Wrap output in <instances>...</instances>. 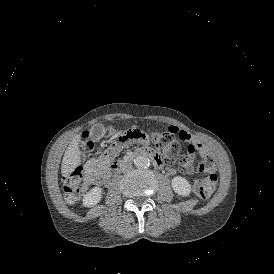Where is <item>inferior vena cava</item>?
<instances>
[{
  "instance_id": "obj_1",
  "label": "inferior vena cava",
  "mask_w": 274,
  "mask_h": 274,
  "mask_svg": "<svg viewBox=\"0 0 274 274\" xmlns=\"http://www.w3.org/2000/svg\"><path fill=\"white\" fill-rule=\"evenodd\" d=\"M132 168V166L131 165H128V169H131Z\"/></svg>"
}]
</instances>
